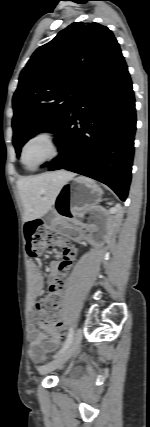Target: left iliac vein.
Listing matches in <instances>:
<instances>
[{
    "label": "left iliac vein",
    "mask_w": 150,
    "mask_h": 427,
    "mask_svg": "<svg viewBox=\"0 0 150 427\" xmlns=\"http://www.w3.org/2000/svg\"><path fill=\"white\" fill-rule=\"evenodd\" d=\"M82 337H83L82 329L78 328L75 332V335L73 337L70 347L66 351L61 353L59 356H57L54 360H52L51 362L43 366L42 369L40 370L41 375H46L63 366L72 357V355L80 345L82 341Z\"/></svg>",
    "instance_id": "4c4485c4"
}]
</instances>
